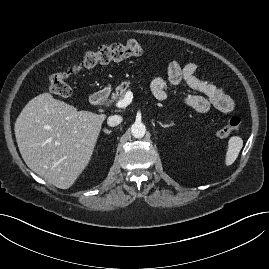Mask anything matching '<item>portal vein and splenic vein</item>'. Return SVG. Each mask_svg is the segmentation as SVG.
<instances>
[{
    "label": "portal vein and splenic vein",
    "instance_id": "portal-vein-and-splenic-vein-1",
    "mask_svg": "<svg viewBox=\"0 0 269 269\" xmlns=\"http://www.w3.org/2000/svg\"><path fill=\"white\" fill-rule=\"evenodd\" d=\"M133 99V93L129 90L125 93L124 97L116 102L117 108H125L127 107Z\"/></svg>",
    "mask_w": 269,
    "mask_h": 269
}]
</instances>
